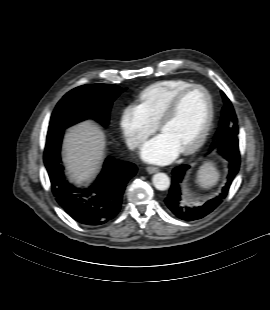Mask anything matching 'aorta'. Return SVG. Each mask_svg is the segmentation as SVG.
Listing matches in <instances>:
<instances>
[{
    "instance_id": "aorta-1",
    "label": "aorta",
    "mask_w": 270,
    "mask_h": 310,
    "mask_svg": "<svg viewBox=\"0 0 270 310\" xmlns=\"http://www.w3.org/2000/svg\"><path fill=\"white\" fill-rule=\"evenodd\" d=\"M152 182L157 190L164 191L170 186V179L165 173H156L153 175Z\"/></svg>"
}]
</instances>
